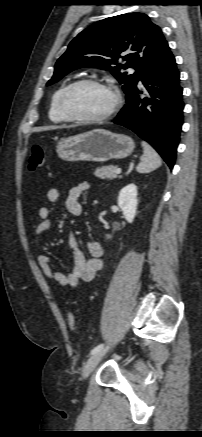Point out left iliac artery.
<instances>
[{
	"instance_id": "1",
	"label": "left iliac artery",
	"mask_w": 202,
	"mask_h": 437,
	"mask_svg": "<svg viewBox=\"0 0 202 437\" xmlns=\"http://www.w3.org/2000/svg\"><path fill=\"white\" fill-rule=\"evenodd\" d=\"M103 344H99V345H97L96 347H94L92 350H91V354H95V353H97V352H99L100 350H102L103 349Z\"/></svg>"
}]
</instances>
